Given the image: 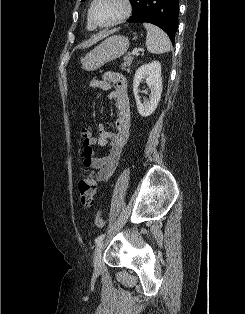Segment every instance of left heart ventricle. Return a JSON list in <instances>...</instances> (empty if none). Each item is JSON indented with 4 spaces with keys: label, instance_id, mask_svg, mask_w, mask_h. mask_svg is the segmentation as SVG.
<instances>
[{
    "label": "left heart ventricle",
    "instance_id": "b2bd125f",
    "mask_svg": "<svg viewBox=\"0 0 245 314\" xmlns=\"http://www.w3.org/2000/svg\"><path fill=\"white\" fill-rule=\"evenodd\" d=\"M122 11L119 0H98L93 8V18L104 24L113 21Z\"/></svg>",
    "mask_w": 245,
    "mask_h": 314
}]
</instances>
